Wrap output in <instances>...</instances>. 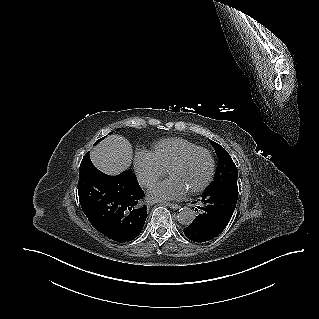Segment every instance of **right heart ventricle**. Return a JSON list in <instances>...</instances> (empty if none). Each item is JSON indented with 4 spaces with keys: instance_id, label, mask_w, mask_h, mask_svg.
Masks as SVG:
<instances>
[{
    "instance_id": "right-heart-ventricle-1",
    "label": "right heart ventricle",
    "mask_w": 319,
    "mask_h": 319,
    "mask_svg": "<svg viewBox=\"0 0 319 319\" xmlns=\"http://www.w3.org/2000/svg\"><path fill=\"white\" fill-rule=\"evenodd\" d=\"M198 145L188 139L175 137L162 139L152 145L150 153L155 161L165 170L185 151Z\"/></svg>"
}]
</instances>
